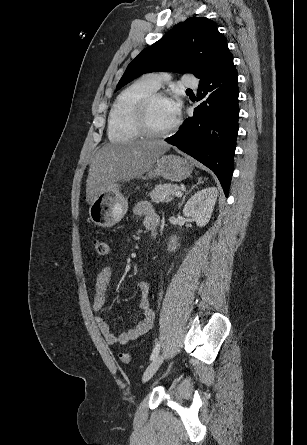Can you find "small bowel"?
Wrapping results in <instances>:
<instances>
[{
  "mask_svg": "<svg viewBox=\"0 0 307 445\" xmlns=\"http://www.w3.org/2000/svg\"><path fill=\"white\" fill-rule=\"evenodd\" d=\"M134 213L136 215L144 216V226L150 232L151 236L153 238H156L160 227V217L153 210L151 205L146 201H141L134 207ZM112 272V267L106 266L102 268L97 274L95 283V295L93 300V310L96 313L102 312L104 308L106 301V292L111 282ZM138 287L141 290L139 307L142 311V316L141 319L129 330L115 335L111 331L110 324L103 316L99 315L96 317L97 325L105 341L109 345H124L141 337L152 327L155 314L150 307V301L148 297L150 284L148 282L142 281L138 284Z\"/></svg>",
  "mask_w": 307,
  "mask_h": 445,
  "instance_id": "c3829d8e",
  "label": "small bowel"
}]
</instances>
